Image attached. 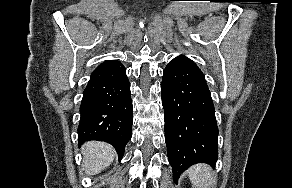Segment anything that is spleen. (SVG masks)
Here are the masks:
<instances>
[{
	"instance_id": "obj_1",
	"label": "spleen",
	"mask_w": 292,
	"mask_h": 188,
	"mask_svg": "<svg viewBox=\"0 0 292 188\" xmlns=\"http://www.w3.org/2000/svg\"><path fill=\"white\" fill-rule=\"evenodd\" d=\"M188 176L194 188H210L214 183L211 169L204 164L192 166L188 171Z\"/></svg>"
}]
</instances>
